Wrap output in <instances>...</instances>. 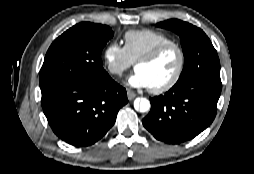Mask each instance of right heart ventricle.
<instances>
[{
  "instance_id": "right-heart-ventricle-1",
  "label": "right heart ventricle",
  "mask_w": 254,
  "mask_h": 174,
  "mask_svg": "<svg viewBox=\"0 0 254 174\" xmlns=\"http://www.w3.org/2000/svg\"><path fill=\"white\" fill-rule=\"evenodd\" d=\"M124 42V47L128 55L135 62L154 48L165 43L173 42V38L159 30L138 29L126 32Z\"/></svg>"
}]
</instances>
